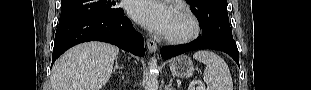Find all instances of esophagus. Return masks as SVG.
Instances as JSON below:
<instances>
[{"instance_id":"obj_1","label":"esophagus","mask_w":311,"mask_h":90,"mask_svg":"<svg viewBox=\"0 0 311 90\" xmlns=\"http://www.w3.org/2000/svg\"><path fill=\"white\" fill-rule=\"evenodd\" d=\"M146 43L150 52H155L157 50V43L153 39L148 38Z\"/></svg>"}]
</instances>
